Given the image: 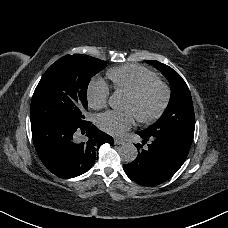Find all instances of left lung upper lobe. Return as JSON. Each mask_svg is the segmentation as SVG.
Listing matches in <instances>:
<instances>
[{
	"mask_svg": "<svg viewBox=\"0 0 228 228\" xmlns=\"http://www.w3.org/2000/svg\"><path fill=\"white\" fill-rule=\"evenodd\" d=\"M146 63L159 69L171 86V97L166 110L148 129L194 135V108L185 81L175 70L165 64L155 60H147Z\"/></svg>",
	"mask_w": 228,
	"mask_h": 228,
	"instance_id": "1",
	"label": "left lung upper lobe"
}]
</instances>
